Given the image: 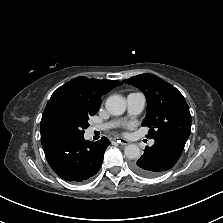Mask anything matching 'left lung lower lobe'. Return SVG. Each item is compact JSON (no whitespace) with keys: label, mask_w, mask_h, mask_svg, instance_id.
<instances>
[{"label":"left lung lower lobe","mask_w":223,"mask_h":223,"mask_svg":"<svg viewBox=\"0 0 223 223\" xmlns=\"http://www.w3.org/2000/svg\"><path fill=\"white\" fill-rule=\"evenodd\" d=\"M152 147L132 164L133 171L143 177H156L171 169L180 158L186 141L174 136L155 138Z\"/></svg>","instance_id":"left-lung-lower-lobe-1"}]
</instances>
